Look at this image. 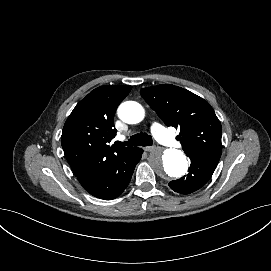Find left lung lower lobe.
<instances>
[{"label":"left lung lower lobe","instance_id":"obj_1","mask_svg":"<svg viewBox=\"0 0 271 271\" xmlns=\"http://www.w3.org/2000/svg\"><path fill=\"white\" fill-rule=\"evenodd\" d=\"M189 158L191 160L189 173L169 182L170 188L180 194H190L202 188L211 178L219 162L208 153L189 156Z\"/></svg>","mask_w":271,"mask_h":271}]
</instances>
